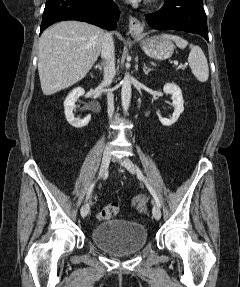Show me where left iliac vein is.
I'll list each match as a JSON object with an SVG mask.
<instances>
[{
  "label": "left iliac vein",
  "instance_id": "left-iliac-vein-1",
  "mask_svg": "<svg viewBox=\"0 0 240 287\" xmlns=\"http://www.w3.org/2000/svg\"><path fill=\"white\" fill-rule=\"evenodd\" d=\"M119 162L132 174L136 172L135 166L129 158H123ZM152 213L156 220H159L161 218V210L157 205L153 206Z\"/></svg>",
  "mask_w": 240,
  "mask_h": 287
}]
</instances>
